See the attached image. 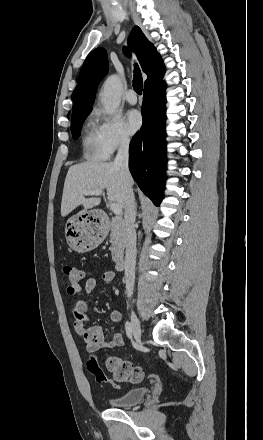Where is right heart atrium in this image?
<instances>
[{
  "label": "right heart atrium",
  "mask_w": 263,
  "mask_h": 440,
  "mask_svg": "<svg viewBox=\"0 0 263 440\" xmlns=\"http://www.w3.org/2000/svg\"><path fill=\"white\" fill-rule=\"evenodd\" d=\"M98 133L101 145L107 155L128 147L131 143L130 135L117 116H102L98 125Z\"/></svg>",
  "instance_id": "1"
}]
</instances>
